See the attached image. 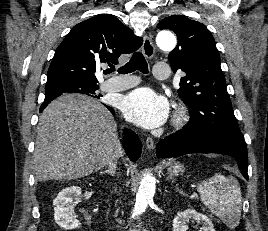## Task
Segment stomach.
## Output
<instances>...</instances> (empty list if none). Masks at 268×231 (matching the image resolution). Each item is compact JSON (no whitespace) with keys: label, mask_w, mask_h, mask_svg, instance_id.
Masks as SVG:
<instances>
[{"label":"stomach","mask_w":268,"mask_h":231,"mask_svg":"<svg viewBox=\"0 0 268 231\" xmlns=\"http://www.w3.org/2000/svg\"><path fill=\"white\" fill-rule=\"evenodd\" d=\"M183 172H184V166L179 162L172 164L168 168V174L170 176H177L179 174H182Z\"/></svg>","instance_id":"stomach-1"}]
</instances>
